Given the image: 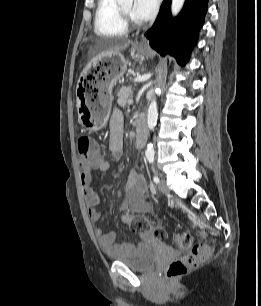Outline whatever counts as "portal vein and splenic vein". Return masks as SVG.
<instances>
[{"label": "portal vein and splenic vein", "mask_w": 261, "mask_h": 306, "mask_svg": "<svg viewBox=\"0 0 261 306\" xmlns=\"http://www.w3.org/2000/svg\"><path fill=\"white\" fill-rule=\"evenodd\" d=\"M133 103V100L131 99L130 101H129V104H132Z\"/></svg>", "instance_id": "18ae733b"}]
</instances>
